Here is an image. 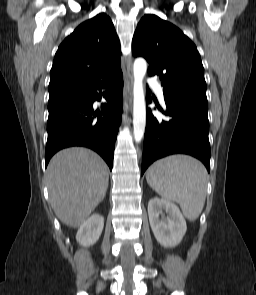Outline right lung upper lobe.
<instances>
[{"instance_id":"cb5924a9","label":"right lung upper lobe","mask_w":256,"mask_h":295,"mask_svg":"<svg viewBox=\"0 0 256 295\" xmlns=\"http://www.w3.org/2000/svg\"><path fill=\"white\" fill-rule=\"evenodd\" d=\"M120 42L104 13L80 24L59 46L49 94L86 85L121 71Z\"/></svg>"}]
</instances>
